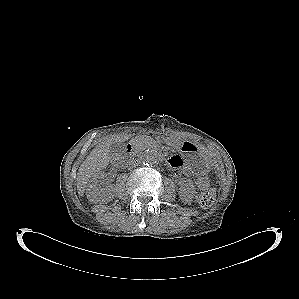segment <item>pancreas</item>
I'll return each instance as SVG.
<instances>
[{
  "label": "pancreas",
  "mask_w": 299,
  "mask_h": 299,
  "mask_svg": "<svg viewBox=\"0 0 299 299\" xmlns=\"http://www.w3.org/2000/svg\"><path fill=\"white\" fill-rule=\"evenodd\" d=\"M134 144L136 147H143L145 145H147V139L146 138H136L134 141Z\"/></svg>",
  "instance_id": "obj_1"
}]
</instances>
